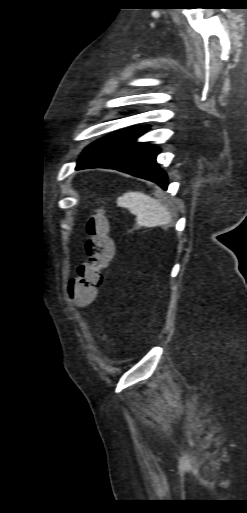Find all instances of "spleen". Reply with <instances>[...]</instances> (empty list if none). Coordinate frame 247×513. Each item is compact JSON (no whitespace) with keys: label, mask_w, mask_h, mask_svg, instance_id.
I'll return each mask as SVG.
<instances>
[{"label":"spleen","mask_w":247,"mask_h":513,"mask_svg":"<svg viewBox=\"0 0 247 513\" xmlns=\"http://www.w3.org/2000/svg\"><path fill=\"white\" fill-rule=\"evenodd\" d=\"M117 205L136 215L138 224L146 227L167 224L170 214L158 200L142 192H126L117 200Z\"/></svg>","instance_id":"spleen-1"}]
</instances>
